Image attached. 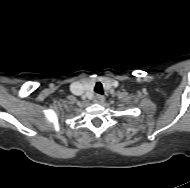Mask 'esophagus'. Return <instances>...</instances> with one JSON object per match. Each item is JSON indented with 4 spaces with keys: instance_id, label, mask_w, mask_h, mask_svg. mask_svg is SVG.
Masks as SVG:
<instances>
[{
    "instance_id": "obj_1",
    "label": "esophagus",
    "mask_w": 190,
    "mask_h": 188,
    "mask_svg": "<svg viewBox=\"0 0 190 188\" xmlns=\"http://www.w3.org/2000/svg\"><path fill=\"white\" fill-rule=\"evenodd\" d=\"M105 101V97L103 95H96L94 98V102L97 104H103Z\"/></svg>"
}]
</instances>
